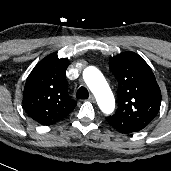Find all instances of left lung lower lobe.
Here are the masks:
<instances>
[{
    "label": "left lung lower lobe",
    "instance_id": "1",
    "mask_svg": "<svg viewBox=\"0 0 171 171\" xmlns=\"http://www.w3.org/2000/svg\"><path fill=\"white\" fill-rule=\"evenodd\" d=\"M142 129L143 128H140V127L127 126V127H123V128H118L116 130L119 131L120 133L131 134V133H134V132H138V131H140Z\"/></svg>",
    "mask_w": 171,
    "mask_h": 171
}]
</instances>
